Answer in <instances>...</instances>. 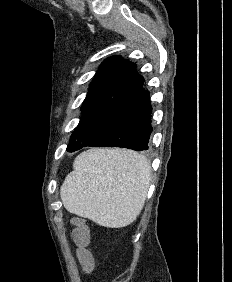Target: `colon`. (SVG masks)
<instances>
[{
	"instance_id": "5ec220e1",
	"label": "colon",
	"mask_w": 232,
	"mask_h": 282,
	"mask_svg": "<svg viewBox=\"0 0 232 282\" xmlns=\"http://www.w3.org/2000/svg\"><path fill=\"white\" fill-rule=\"evenodd\" d=\"M74 229L71 233L73 242L80 248V258L87 265L90 266L91 259L88 253L84 250L89 242V232L87 226L80 219L74 220Z\"/></svg>"
}]
</instances>
